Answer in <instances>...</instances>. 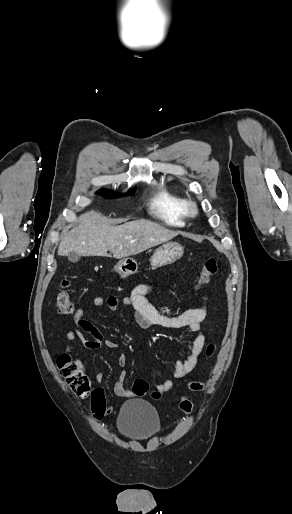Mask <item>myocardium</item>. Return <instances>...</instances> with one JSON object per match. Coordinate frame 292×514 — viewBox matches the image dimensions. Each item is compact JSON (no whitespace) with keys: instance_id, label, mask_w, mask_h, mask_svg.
I'll use <instances>...</instances> for the list:
<instances>
[{"instance_id":"obj_1","label":"myocardium","mask_w":292,"mask_h":514,"mask_svg":"<svg viewBox=\"0 0 292 514\" xmlns=\"http://www.w3.org/2000/svg\"><path fill=\"white\" fill-rule=\"evenodd\" d=\"M185 210L188 215H194L196 213V204L192 200H186Z\"/></svg>"}]
</instances>
